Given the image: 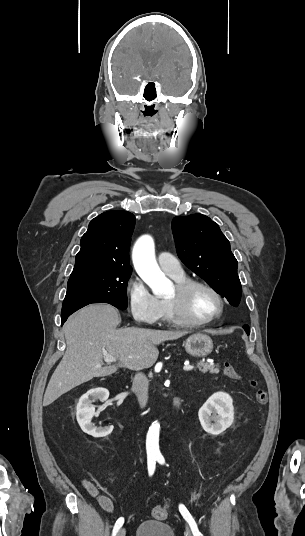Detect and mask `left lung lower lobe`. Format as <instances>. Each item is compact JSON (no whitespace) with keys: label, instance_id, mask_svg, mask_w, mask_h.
Segmentation results:
<instances>
[{"label":"left lung lower lobe","instance_id":"left-lung-lower-lobe-1","mask_svg":"<svg viewBox=\"0 0 305 536\" xmlns=\"http://www.w3.org/2000/svg\"><path fill=\"white\" fill-rule=\"evenodd\" d=\"M243 328H244V330L247 332V334L250 333V328H249L248 325H244Z\"/></svg>","mask_w":305,"mask_h":536}]
</instances>
